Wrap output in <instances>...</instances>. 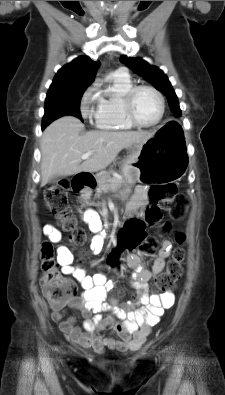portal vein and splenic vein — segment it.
I'll return each mask as SVG.
<instances>
[{"label":"portal vein and splenic vein","mask_w":225,"mask_h":395,"mask_svg":"<svg viewBox=\"0 0 225 395\" xmlns=\"http://www.w3.org/2000/svg\"><path fill=\"white\" fill-rule=\"evenodd\" d=\"M92 154H93L92 151H91V152H87V153L83 154V155L81 156V158H82L83 160L88 159V158H90V156H91Z\"/></svg>","instance_id":"18ae733b"}]
</instances>
